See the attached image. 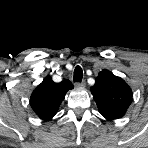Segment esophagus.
Segmentation results:
<instances>
[{"label": "esophagus", "instance_id": "1", "mask_svg": "<svg viewBox=\"0 0 148 148\" xmlns=\"http://www.w3.org/2000/svg\"><path fill=\"white\" fill-rule=\"evenodd\" d=\"M75 85H76L77 87L84 88V87L86 86V83H85L84 81H82V82H77V83H75Z\"/></svg>", "mask_w": 148, "mask_h": 148}]
</instances>
